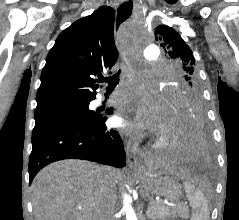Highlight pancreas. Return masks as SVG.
Instances as JSON below:
<instances>
[{
  "instance_id": "cf45deb5",
  "label": "pancreas",
  "mask_w": 239,
  "mask_h": 220,
  "mask_svg": "<svg viewBox=\"0 0 239 220\" xmlns=\"http://www.w3.org/2000/svg\"><path fill=\"white\" fill-rule=\"evenodd\" d=\"M146 216L150 220H166L167 218L176 217L187 218L188 209L183 204L170 208L162 201H155L149 205L146 211Z\"/></svg>"
}]
</instances>
